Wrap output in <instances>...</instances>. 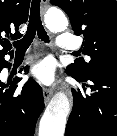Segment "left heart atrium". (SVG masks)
<instances>
[{
    "mask_svg": "<svg viewBox=\"0 0 117 136\" xmlns=\"http://www.w3.org/2000/svg\"><path fill=\"white\" fill-rule=\"evenodd\" d=\"M31 75L45 85H52L57 79V70L54 61L46 58L35 64L31 69Z\"/></svg>",
    "mask_w": 117,
    "mask_h": 136,
    "instance_id": "1",
    "label": "left heart atrium"
}]
</instances>
